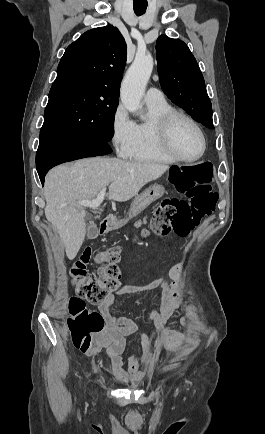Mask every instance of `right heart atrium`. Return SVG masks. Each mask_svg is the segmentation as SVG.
<instances>
[{
    "label": "right heart atrium",
    "instance_id": "d8ad5b80",
    "mask_svg": "<svg viewBox=\"0 0 265 434\" xmlns=\"http://www.w3.org/2000/svg\"><path fill=\"white\" fill-rule=\"evenodd\" d=\"M119 115H111V141L115 148L118 159H127L128 154L133 153L135 139L133 132L136 129V124L132 121L128 106H119L117 108Z\"/></svg>",
    "mask_w": 265,
    "mask_h": 434
}]
</instances>
